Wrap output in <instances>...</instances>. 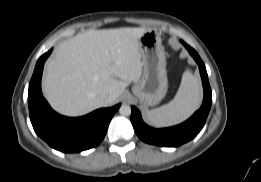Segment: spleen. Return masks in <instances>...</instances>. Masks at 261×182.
<instances>
[{"instance_id":"obj_1","label":"spleen","mask_w":261,"mask_h":182,"mask_svg":"<svg viewBox=\"0 0 261 182\" xmlns=\"http://www.w3.org/2000/svg\"><path fill=\"white\" fill-rule=\"evenodd\" d=\"M202 98L199 78L186 70L174 99L168 104L147 112L148 120L158 127H168L186 120L198 107Z\"/></svg>"}]
</instances>
